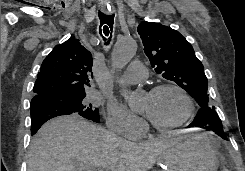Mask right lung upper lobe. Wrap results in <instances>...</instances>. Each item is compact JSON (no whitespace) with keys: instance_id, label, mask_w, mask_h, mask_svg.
Listing matches in <instances>:
<instances>
[{"instance_id":"cb5924a9","label":"right lung upper lobe","mask_w":245,"mask_h":171,"mask_svg":"<svg viewBox=\"0 0 245 171\" xmlns=\"http://www.w3.org/2000/svg\"><path fill=\"white\" fill-rule=\"evenodd\" d=\"M92 64L91 52L79 40L70 38L56 45L42 62L33 88L36 95L32 100L86 94Z\"/></svg>"}]
</instances>
